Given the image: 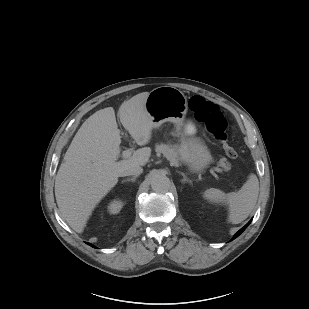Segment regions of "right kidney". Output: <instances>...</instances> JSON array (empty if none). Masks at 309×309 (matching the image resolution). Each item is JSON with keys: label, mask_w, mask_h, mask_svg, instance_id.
I'll return each instance as SVG.
<instances>
[{"label": "right kidney", "mask_w": 309, "mask_h": 309, "mask_svg": "<svg viewBox=\"0 0 309 309\" xmlns=\"http://www.w3.org/2000/svg\"><path fill=\"white\" fill-rule=\"evenodd\" d=\"M122 206L123 203L121 201L114 200L108 205V211L110 214H117L120 212Z\"/></svg>", "instance_id": "obj_1"}]
</instances>
